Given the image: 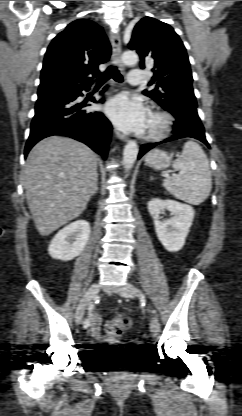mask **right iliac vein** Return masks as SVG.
Instances as JSON below:
<instances>
[{
  "label": "right iliac vein",
  "mask_w": 242,
  "mask_h": 416,
  "mask_svg": "<svg viewBox=\"0 0 242 416\" xmlns=\"http://www.w3.org/2000/svg\"><path fill=\"white\" fill-rule=\"evenodd\" d=\"M98 292H99V285L98 284L94 283L89 287L86 294L82 298L80 304L78 305L76 315H75L77 323H79L82 320V318L84 316V313H85V310L87 309V306L89 305L91 300L96 297Z\"/></svg>",
  "instance_id": "63e3f726"
}]
</instances>
